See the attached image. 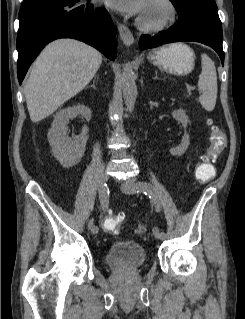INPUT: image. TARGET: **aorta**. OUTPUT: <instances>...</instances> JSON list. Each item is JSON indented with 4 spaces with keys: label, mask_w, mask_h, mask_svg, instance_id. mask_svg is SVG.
I'll return each mask as SVG.
<instances>
[{
    "label": "aorta",
    "mask_w": 245,
    "mask_h": 319,
    "mask_svg": "<svg viewBox=\"0 0 245 319\" xmlns=\"http://www.w3.org/2000/svg\"><path fill=\"white\" fill-rule=\"evenodd\" d=\"M122 92L125 105L128 111H133L137 97V86L135 83V73L131 63H127L122 74Z\"/></svg>",
    "instance_id": "obj_1"
}]
</instances>
